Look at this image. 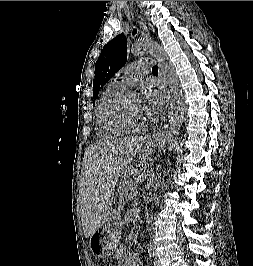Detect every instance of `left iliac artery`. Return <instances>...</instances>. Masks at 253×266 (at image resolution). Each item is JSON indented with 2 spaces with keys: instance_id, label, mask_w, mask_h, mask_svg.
<instances>
[{
  "instance_id": "left-iliac-artery-1",
  "label": "left iliac artery",
  "mask_w": 253,
  "mask_h": 266,
  "mask_svg": "<svg viewBox=\"0 0 253 266\" xmlns=\"http://www.w3.org/2000/svg\"><path fill=\"white\" fill-rule=\"evenodd\" d=\"M148 252H149V255L150 256H152V257H154V255H155V253H154V248H153V246H149V248H148Z\"/></svg>"
}]
</instances>
